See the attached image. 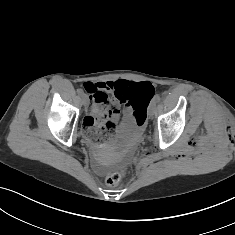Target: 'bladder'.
<instances>
[{
	"mask_svg": "<svg viewBox=\"0 0 235 235\" xmlns=\"http://www.w3.org/2000/svg\"><path fill=\"white\" fill-rule=\"evenodd\" d=\"M135 135V128L132 124H124L118 130V136L122 140H128Z\"/></svg>",
	"mask_w": 235,
	"mask_h": 235,
	"instance_id": "1",
	"label": "bladder"
}]
</instances>
